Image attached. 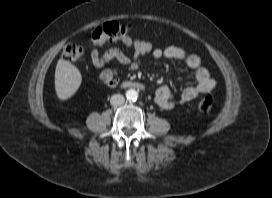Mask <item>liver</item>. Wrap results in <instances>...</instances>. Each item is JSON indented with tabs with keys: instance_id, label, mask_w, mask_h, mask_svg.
Listing matches in <instances>:
<instances>
[{
	"instance_id": "obj_1",
	"label": "liver",
	"mask_w": 272,
	"mask_h": 198,
	"mask_svg": "<svg viewBox=\"0 0 272 198\" xmlns=\"http://www.w3.org/2000/svg\"><path fill=\"white\" fill-rule=\"evenodd\" d=\"M82 76L77 67L67 60L59 59L55 69V91L59 99L72 97L81 85Z\"/></svg>"
}]
</instances>
